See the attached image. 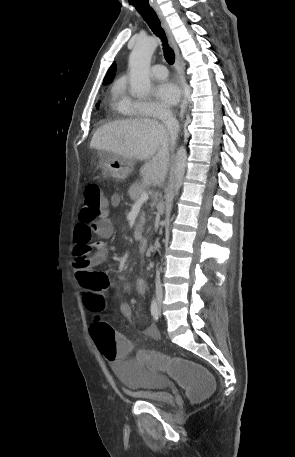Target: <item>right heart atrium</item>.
<instances>
[{
  "label": "right heart atrium",
  "instance_id": "d8ad5b80",
  "mask_svg": "<svg viewBox=\"0 0 295 457\" xmlns=\"http://www.w3.org/2000/svg\"><path fill=\"white\" fill-rule=\"evenodd\" d=\"M134 107L138 115L151 118H164L170 115V109L154 101H134Z\"/></svg>",
  "mask_w": 295,
  "mask_h": 457
}]
</instances>
